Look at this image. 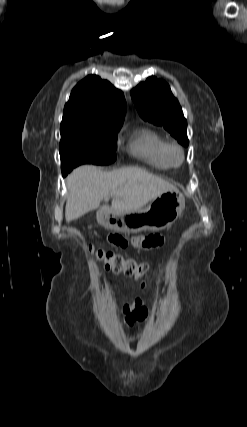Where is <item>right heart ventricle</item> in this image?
<instances>
[{
	"label": "right heart ventricle",
	"mask_w": 247,
	"mask_h": 427,
	"mask_svg": "<svg viewBox=\"0 0 247 427\" xmlns=\"http://www.w3.org/2000/svg\"><path fill=\"white\" fill-rule=\"evenodd\" d=\"M169 143L150 128H141L129 142V152L153 168L167 170L173 166L168 156Z\"/></svg>",
	"instance_id": "1"
}]
</instances>
